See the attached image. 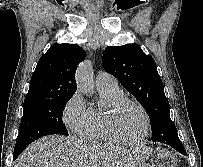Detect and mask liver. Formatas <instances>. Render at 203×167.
<instances>
[{"label": "liver", "instance_id": "obj_1", "mask_svg": "<svg viewBox=\"0 0 203 167\" xmlns=\"http://www.w3.org/2000/svg\"><path fill=\"white\" fill-rule=\"evenodd\" d=\"M143 161L134 151L49 135L30 144L14 167H136Z\"/></svg>", "mask_w": 203, "mask_h": 167}]
</instances>
